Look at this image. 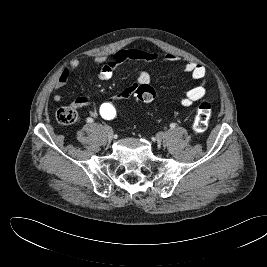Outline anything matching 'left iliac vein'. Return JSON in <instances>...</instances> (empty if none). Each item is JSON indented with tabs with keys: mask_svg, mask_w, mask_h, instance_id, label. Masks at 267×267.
Wrapping results in <instances>:
<instances>
[{
	"mask_svg": "<svg viewBox=\"0 0 267 267\" xmlns=\"http://www.w3.org/2000/svg\"><path fill=\"white\" fill-rule=\"evenodd\" d=\"M165 137H166V133H165V132H158V133L156 134V139H157V141H162V140L165 139Z\"/></svg>",
	"mask_w": 267,
	"mask_h": 267,
	"instance_id": "1",
	"label": "left iliac vein"
}]
</instances>
